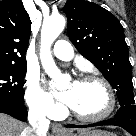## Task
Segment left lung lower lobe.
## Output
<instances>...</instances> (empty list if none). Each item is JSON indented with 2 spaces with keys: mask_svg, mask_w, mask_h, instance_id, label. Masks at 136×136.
Returning a JSON list of instances; mask_svg holds the SVG:
<instances>
[{
  "mask_svg": "<svg viewBox=\"0 0 136 136\" xmlns=\"http://www.w3.org/2000/svg\"><path fill=\"white\" fill-rule=\"evenodd\" d=\"M101 125H115L124 128L132 136H136V105L121 107L114 118L90 125H67L73 128H86Z\"/></svg>",
  "mask_w": 136,
  "mask_h": 136,
  "instance_id": "1",
  "label": "left lung lower lobe"
}]
</instances>
